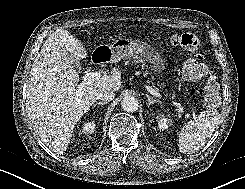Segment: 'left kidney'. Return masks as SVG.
I'll return each mask as SVG.
<instances>
[{
	"instance_id": "1",
	"label": "left kidney",
	"mask_w": 245,
	"mask_h": 189,
	"mask_svg": "<svg viewBox=\"0 0 245 189\" xmlns=\"http://www.w3.org/2000/svg\"><path fill=\"white\" fill-rule=\"evenodd\" d=\"M157 122L160 130L168 129L169 119L165 118L163 115L157 116Z\"/></svg>"
}]
</instances>
